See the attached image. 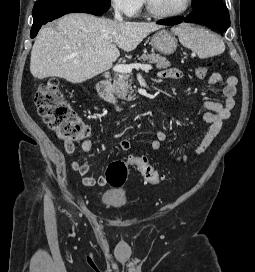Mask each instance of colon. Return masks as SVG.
Returning a JSON list of instances; mask_svg holds the SVG:
<instances>
[{"instance_id":"5ec220e1","label":"colon","mask_w":255,"mask_h":272,"mask_svg":"<svg viewBox=\"0 0 255 272\" xmlns=\"http://www.w3.org/2000/svg\"><path fill=\"white\" fill-rule=\"evenodd\" d=\"M212 64L208 63L196 69V76L205 78ZM39 115L65 146H74L89 136V127L76 115L69 102L63 96L61 86L56 79L41 84L34 96ZM144 180L152 185L161 183V175L149 163L145 156L131 157ZM128 176V166L121 160L111 162L106 171L107 182L114 187L122 186Z\"/></svg>"}]
</instances>
